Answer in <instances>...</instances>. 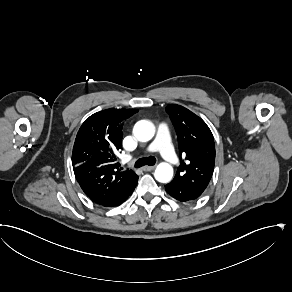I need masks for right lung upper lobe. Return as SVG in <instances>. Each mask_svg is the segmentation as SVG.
<instances>
[{
  "label": "right lung upper lobe",
  "instance_id": "right-lung-upper-lobe-1",
  "mask_svg": "<svg viewBox=\"0 0 292 292\" xmlns=\"http://www.w3.org/2000/svg\"><path fill=\"white\" fill-rule=\"evenodd\" d=\"M136 112H97L84 121L77 133L72 152L75 177L84 193L99 205L118 199L138 179L134 171H122L115 155L122 148L123 121Z\"/></svg>",
  "mask_w": 292,
  "mask_h": 292
}]
</instances>
